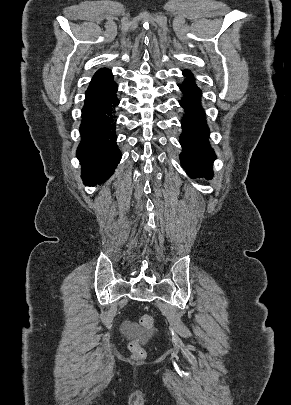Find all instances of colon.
<instances>
[{"mask_svg":"<svg viewBox=\"0 0 291 405\" xmlns=\"http://www.w3.org/2000/svg\"><path fill=\"white\" fill-rule=\"evenodd\" d=\"M153 326L154 317L151 314H145L140 318L141 336L133 339L129 345L134 358L143 359L145 357V351L140 345V339L150 332Z\"/></svg>","mask_w":291,"mask_h":405,"instance_id":"1","label":"colon"}]
</instances>
